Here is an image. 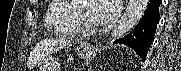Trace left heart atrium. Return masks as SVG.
Segmentation results:
<instances>
[{
	"label": "left heart atrium",
	"mask_w": 181,
	"mask_h": 71,
	"mask_svg": "<svg viewBox=\"0 0 181 71\" xmlns=\"http://www.w3.org/2000/svg\"><path fill=\"white\" fill-rule=\"evenodd\" d=\"M120 10L119 0H101L99 1L97 22L99 23H109L113 21Z\"/></svg>",
	"instance_id": "obj_1"
}]
</instances>
